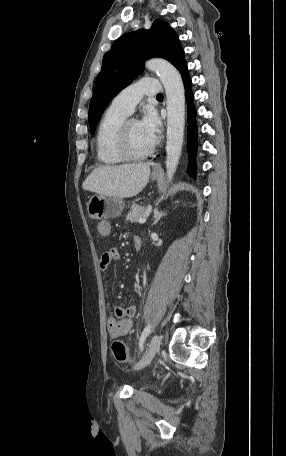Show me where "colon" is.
I'll return each mask as SVG.
<instances>
[{
	"label": "colon",
	"mask_w": 286,
	"mask_h": 456,
	"mask_svg": "<svg viewBox=\"0 0 286 456\" xmlns=\"http://www.w3.org/2000/svg\"><path fill=\"white\" fill-rule=\"evenodd\" d=\"M112 352H113V355H114V358L116 359V361L120 362V363H127L129 362V351H128V348L126 346V344L122 341H114L112 343Z\"/></svg>",
	"instance_id": "obj_1"
}]
</instances>
